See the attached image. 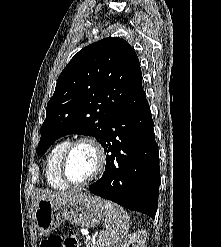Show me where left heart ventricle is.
<instances>
[{"label":"left heart ventricle","mask_w":221,"mask_h":247,"mask_svg":"<svg viewBox=\"0 0 221 247\" xmlns=\"http://www.w3.org/2000/svg\"><path fill=\"white\" fill-rule=\"evenodd\" d=\"M96 165L94 149L89 145L82 144L71 153L67 164V174L73 182H82L94 173Z\"/></svg>","instance_id":"left-heart-ventricle-1"}]
</instances>
